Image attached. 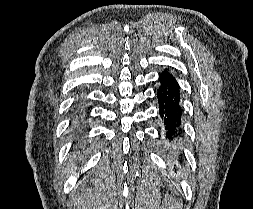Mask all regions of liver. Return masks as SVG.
Returning <instances> with one entry per match:
<instances>
[{
    "mask_svg": "<svg viewBox=\"0 0 253 209\" xmlns=\"http://www.w3.org/2000/svg\"><path fill=\"white\" fill-rule=\"evenodd\" d=\"M76 171V166L71 162L66 168L67 175L72 174Z\"/></svg>",
    "mask_w": 253,
    "mask_h": 209,
    "instance_id": "liver-1",
    "label": "liver"
}]
</instances>
